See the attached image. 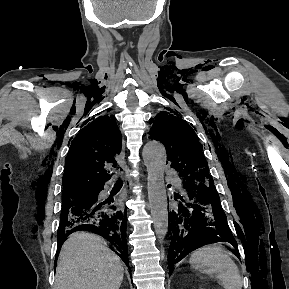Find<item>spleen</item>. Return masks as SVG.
<instances>
[{
  "label": "spleen",
  "mask_w": 289,
  "mask_h": 289,
  "mask_svg": "<svg viewBox=\"0 0 289 289\" xmlns=\"http://www.w3.org/2000/svg\"><path fill=\"white\" fill-rule=\"evenodd\" d=\"M202 274H214L224 289H242L238 267L228 252L219 244H210L195 250L189 260Z\"/></svg>",
  "instance_id": "1"
}]
</instances>
